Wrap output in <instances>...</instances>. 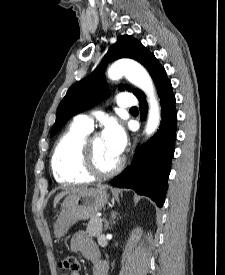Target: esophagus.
Returning <instances> with one entry per match:
<instances>
[{
  "instance_id": "obj_1",
  "label": "esophagus",
  "mask_w": 225,
  "mask_h": 275,
  "mask_svg": "<svg viewBox=\"0 0 225 275\" xmlns=\"http://www.w3.org/2000/svg\"><path fill=\"white\" fill-rule=\"evenodd\" d=\"M137 143H138V137H134L133 139V144H132V152L134 153L135 149H136V146H137Z\"/></svg>"
}]
</instances>
